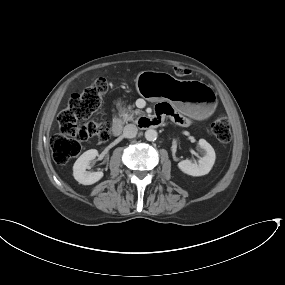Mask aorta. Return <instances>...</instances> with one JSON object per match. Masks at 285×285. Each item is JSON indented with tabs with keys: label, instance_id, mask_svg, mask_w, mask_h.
I'll use <instances>...</instances> for the list:
<instances>
[{
	"label": "aorta",
	"instance_id": "obj_1",
	"mask_svg": "<svg viewBox=\"0 0 285 285\" xmlns=\"http://www.w3.org/2000/svg\"><path fill=\"white\" fill-rule=\"evenodd\" d=\"M158 133L154 129H147L145 131V138L147 141H155L157 139Z\"/></svg>",
	"mask_w": 285,
	"mask_h": 285
}]
</instances>
